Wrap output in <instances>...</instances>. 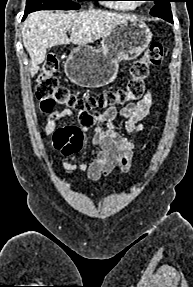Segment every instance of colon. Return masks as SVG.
<instances>
[{
  "mask_svg": "<svg viewBox=\"0 0 193 287\" xmlns=\"http://www.w3.org/2000/svg\"><path fill=\"white\" fill-rule=\"evenodd\" d=\"M162 59V44L152 43L143 56L130 66V79L125 87L78 97L68 87L61 84L58 77V57L50 53L38 75L36 95L44 112H50L55 106L74 110L79 116L80 127L89 128L99 121L101 111L139 100L144 94L145 80L150 67L159 65Z\"/></svg>",
  "mask_w": 193,
  "mask_h": 287,
  "instance_id": "1",
  "label": "colon"
}]
</instances>
